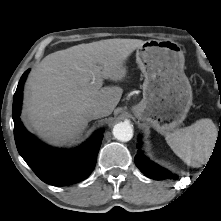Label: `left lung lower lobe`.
I'll list each match as a JSON object with an SVG mask.
<instances>
[{"label":"left lung lower lobe","instance_id":"1","mask_svg":"<svg viewBox=\"0 0 221 221\" xmlns=\"http://www.w3.org/2000/svg\"><path fill=\"white\" fill-rule=\"evenodd\" d=\"M217 143L221 145V134H218ZM140 148V146L138 145ZM136 166L141 170L143 174L147 177L155 180H164V179H177L176 175H173L166 169L156 165L150 161L141 150L138 151V154L135 156Z\"/></svg>","mask_w":221,"mask_h":221}]
</instances>
